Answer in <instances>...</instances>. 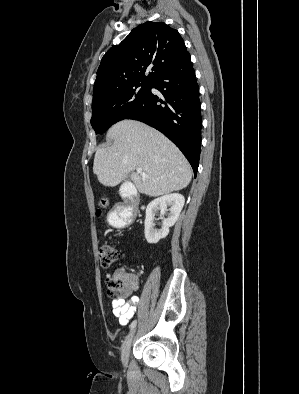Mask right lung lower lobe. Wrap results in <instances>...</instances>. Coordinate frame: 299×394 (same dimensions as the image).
<instances>
[{
    "mask_svg": "<svg viewBox=\"0 0 299 394\" xmlns=\"http://www.w3.org/2000/svg\"><path fill=\"white\" fill-rule=\"evenodd\" d=\"M151 88L160 91L155 95ZM125 119L144 122L166 135L182 151L196 176L201 147V104L188 53L151 83L143 102Z\"/></svg>",
    "mask_w": 299,
    "mask_h": 394,
    "instance_id": "obj_1",
    "label": "right lung lower lobe"
}]
</instances>
